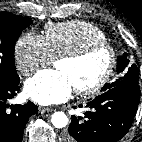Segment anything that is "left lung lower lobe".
Wrapping results in <instances>:
<instances>
[{
  "instance_id": "left-lung-lower-lobe-1",
  "label": "left lung lower lobe",
  "mask_w": 142,
  "mask_h": 142,
  "mask_svg": "<svg viewBox=\"0 0 142 142\" xmlns=\"http://www.w3.org/2000/svg\"><path fill=\"white\" fill-rule=\"evenodd\" d=\"M140 100V88L129 82L88 100L85 119L72 116L65 142H116L129 131ZM82 107V105H79Z\"/></svg>"
}]
</instances>
